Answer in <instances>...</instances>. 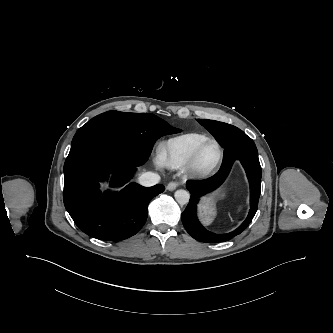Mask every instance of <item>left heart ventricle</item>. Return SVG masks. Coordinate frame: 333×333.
<instances>
[{
    "label": "left heart ventricle",
    "instance_id": "b2bd125f",
    "mask_svg": "<svg viewBox=\"0 0 333 333\" xmlns=\"http://www.w3.org/2000/svg\"><path fill=\"white\" fill-rule=\"evenodd\" d=\"M217 156V148L214 145H209L203 150L200 163L202 166H209L216 160Z\"/></svg>",
    "mask_w": 333,
    "mask_h": 333
}]
</instances>
